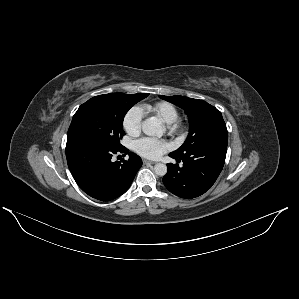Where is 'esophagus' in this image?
<instances>
[{
	"mask_svg": "<svg viewBox=\"0 0 299 299\" xmlns=\"http://www.w3.org/2000/svg\"><path fill=\"white\" fill-rule=\"evenodd\" d=\"M143 164L147 165V164H155L154 161H149V160H143Z\"/></svg>",
	"mask_w": 299,
	"mask_h": 299,
	"instance_id": "1",
	"label": "esophagus"
}]
</instances>
